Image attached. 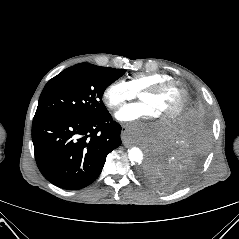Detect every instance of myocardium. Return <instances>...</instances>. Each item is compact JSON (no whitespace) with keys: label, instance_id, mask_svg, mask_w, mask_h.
I'll use <instances>...</instances> for the list:
<instances>
[{"label":"myocardium","instance_id":"myocardium-1","mask_svg":"<svg viewBox=\"0 0 239 239\" xmlns=\"http://www.w3.org/2000/svg\"><path fill=\"white\" fill-rule=\"evenodd\" d=\"M170 87H175L178 89V91L180 92V95H181V101H180L178 108L175 111H173L172 113H170L169 115H167L166 117H164L163 121L173 120L182 114V112L184 111V109L187 105V101H188V92H187L186 88L178 81L170 79V80H166V81L157 83L155 85L149 86V87L145 88L144 90H142L139 94V97H141L143 94L156 95Z\"/></svg>","mask_w":239,"mask_h":239}]
</instances>
